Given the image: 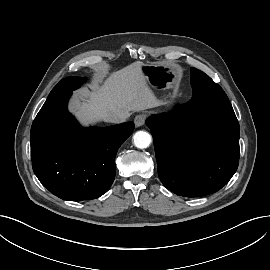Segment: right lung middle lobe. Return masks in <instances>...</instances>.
<instances>
[{
  "mask_svg": "<svg viewBox=\"0 0 270 270\" xmlns=\"http://www.w3.org/2000/svg\"><path fill=\"white\" fill-rule=\"evenodd\" d=\"M83 82V78H79L76 76L64 78L52 89L48 98L72 93V91L79 88Z\"/></svg>",
  "mask_w": 270,
  "mask_h": 270,
  "instance_id": "obj_1",
  "label": "right lung middle lobe"
}]
</instances>
